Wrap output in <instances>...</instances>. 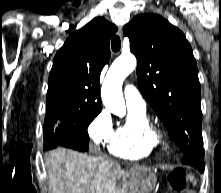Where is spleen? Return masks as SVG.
<instances>
[{"label":"spleen","mask_w":221,"mask_h":193,"mask_svg":"<svg viewBox=\"0 0 221 193\" xmlns=\"http://www.w3.org/2000/svg\"><path fill=\"white\" fill-rule=\"evenodd\" d=\"M190 179L193 181V179H194L193 176L190 177ZM193 184H196V181H194Z\"/></svg>","instance_id":"spleen-1"}]
</instances>
